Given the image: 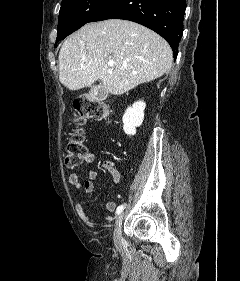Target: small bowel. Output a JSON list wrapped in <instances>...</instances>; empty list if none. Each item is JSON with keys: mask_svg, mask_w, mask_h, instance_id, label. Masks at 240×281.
I'll use <instances>...</instances> for the list:
<instances>
[{"mask_svg": "<svg viewBox=\"0 0 240 281\" xmlns=\"http://www.w3.org/2000/svg\"><path fill=\"white\" fill-rule=\"evenodd\" d=\"M95 158H96L95 154L89 152L85 157V161L87 163H92L95 161ZM103 168L110 174L112 178V182L115 185L119 184L121 177L119 171L115 166V163L112 160H106L103 163ZM98 175L99 174L97 170L90 169L85 179L81 180L78 174L73 173L69 176L68 182L72 187H74L77 190H83L86 193H91L94 190V184L96 179L98 178ZM105 207L108 211L113 212L116 209V204L112 201H107L105 203ZM75 209L78 216L83 222L92 226L95 229L99 228L97 222L86 214L84 207L81 203H77ZM106 219L108 221L112 220L111 217H107Z\"/></svg>", "mask_w": 240, "mask_h": 281, "instance_id": "small-bowel-1", "label": "small bowel"}]
</instances>
